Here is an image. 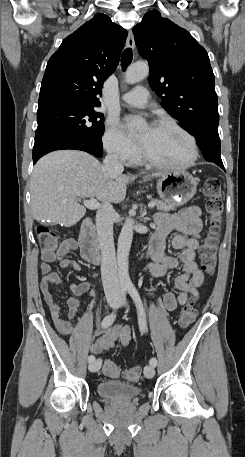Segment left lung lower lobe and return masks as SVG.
Segmentation results:
<instances>
[{"label": "left lung lower lobe", "mask_w": 245, "mask_h": 457, "mask_svg": "<svg viewBox=\"0 0 245 457\" xmlns=\"http://www.w3.org/2000/svg\"><path fill=\"white\" fill-rule=\"evenodd\" d=\"M200 128L186 130L193 134L201 149L204 158L213 162L224 170L220 156V138L218 134V122L206 121L199 124Z\"/></svg>", "instance_id": "0a47b994"}]
</instances>
